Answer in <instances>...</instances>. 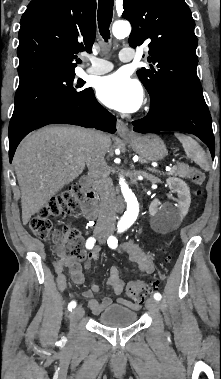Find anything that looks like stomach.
Returning a JSON list of instances; mask_svg holds the SVG:
<instances>
[{
    "label": "stomach",
    "mask_w": 221,
    "mask_h": 379,
    "mask_svg": "<svg viewBox=\"0 0 221 379\" xmlns=\"http://www.w3.org/2000/svg\"><path fill=\"white\" fill-rule=\"evenodd\" d=\"M131 148L146 161H160L167 155L162 139L155 134L133 135L126 138Z\"/></svg>",
    "instance_id": "1"
}]
</instances>
